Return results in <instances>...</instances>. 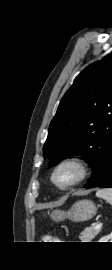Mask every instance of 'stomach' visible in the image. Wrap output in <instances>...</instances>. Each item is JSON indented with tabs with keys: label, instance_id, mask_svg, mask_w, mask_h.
Masks as SVG:
<instances>
[{
	"label": "stomach",
	"instance_id": "0dacf381",
	"mask_svg": "<svg viewBox=\"0 0 112 270\" xmlns=\"http://www.w3.org/2000/svg\"><path fill=\"white\" fill-rule=\"evenodd\" d=\"M97 213V207L90 200L75 202L68 211L55 209L50 216L55 221L70 219L74 222H83L92 219Z\"/></svg>",
	"mask_w": 112,
	"mask_h": 270
}]
</instances>
